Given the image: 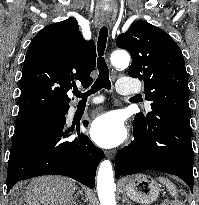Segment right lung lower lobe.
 I'll use <instances>...</instances> for the list:
<instances>
[{
  "instance_id": "obj_1",
  "label": "right lung lower lobe",
  "mask_w": 199,
  "mask_h": 205,
  "mask_svg": "<svg viewBox=\"0 0 199 205\" xmlns=\"http://www.w3.org/2000/svg\"><path fill=\"white\" fill-rule=\"evenodd\" d=\"M64 120L34 130L12 140L7 170V192L20 180L55 174L71 177L94 188L96 169L104 152L84 134L67 141L70 130L64 129ZM87 126L88 122L84 121Z\"/></svg>"
}]
</instances>
